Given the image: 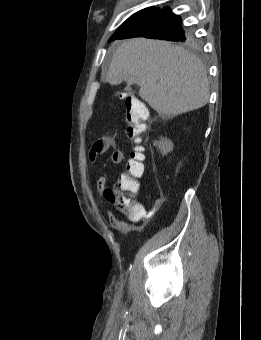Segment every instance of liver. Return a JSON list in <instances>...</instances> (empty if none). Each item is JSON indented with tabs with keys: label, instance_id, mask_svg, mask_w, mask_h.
<instances>
[{
	"label": "liver",
	"instance_id": "6515ba94",
	"mask_svg": "<svg viewBox=\"0 0 261 340\" xmlns=\"http://www.w3.org/2000/svg\"><path fill=\"white\" fill-rule=\"evenodd\" d=\"M106 80L110 85L136 80L139 96L159 115L186 113L209 100L207 71L202 62L167 41L135 38L121 43Z\"/></svg>",
	"mask_w": 261,
	"mask_h": 340
}]
</instances>
